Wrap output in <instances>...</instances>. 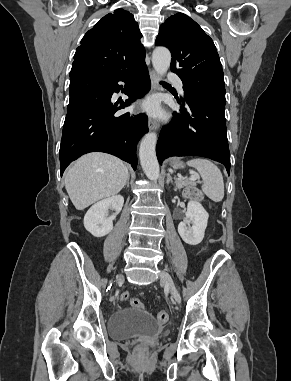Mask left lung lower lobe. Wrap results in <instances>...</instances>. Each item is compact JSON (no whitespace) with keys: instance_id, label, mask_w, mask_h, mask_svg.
Here are the masks:
<instances>
[{"instance_id":"obj_1","label":"left lung lower lobe","mask_w":291,"mask_h":381,"mask_svg":"<svg viewBox=\"0 0 291 381\" xmlns=\"http://www.w3.org/2000/svg\"><path fill=\"white\" fill-rule=\"evenodd\" d=\"M181 115L161 132L156 154L159 163L172 156H203L225 165L230 172V152L225 122V98L185 93ZM180 103V101H179Z\"/></svg>"}]
</instances>
